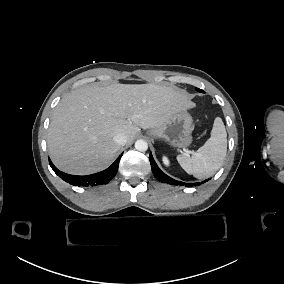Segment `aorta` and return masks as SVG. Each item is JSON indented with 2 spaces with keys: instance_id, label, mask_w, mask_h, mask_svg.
<instances>
[{
  "instance_id": "aorta-1",
  "label": "aorta",
  "mask_w": 284,
  "mask_h": 284,
  "mask_svg": "<svg viewBox=\"0 0 284 284\" xmlns=\"http://www.w3.org/2000/svg\"><path fill=\"white\" fill-rule=\"evenodd\" d=\"M135 149L140 152H145L148 149V144L144 140H137L135 142Z\"/></svg>"
}]
</instances>
